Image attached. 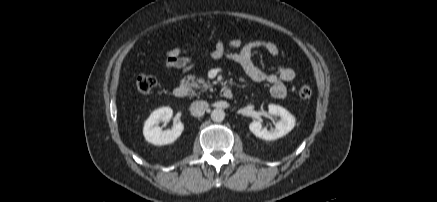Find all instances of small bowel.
<instances>
[{"mask_svg": "<svg viewBox=\"0 0 437 202\" xmlns=\"http://www.w3.org/2000/svg\"><path fill=\"white\" fill-rule=\"evenodd\" d=\"M265 49L274 57L280 55L279 47L266 40H252L243 43L241 39H233L225 44L221 38H218L214 47L203 54L204 57L213 60L226 58L237 64L248 78L252 81L270 84L271 95L275 98H284L287 94L286 84L295 79V72L292 68L280 65L276 67L273 73H267L252 60L255 50ZM194 66V59L187 48L176 47L165 51V61L163 68L165 70L178 69L181 74L190 71Z\"/></svg>", "mask_w": 437, "mask_h": 202, "instance_id": "small-bowel-1", "label": "small bowel"}]
</instances>
